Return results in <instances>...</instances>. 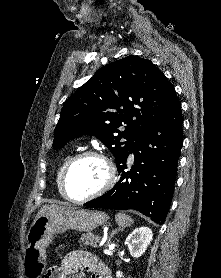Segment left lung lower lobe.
I'll return each instance as SVG.
<instances>
[{"instance_id": "left-lung-lower-lobe-1", "label": "left lung lower lobe", "mask_w": 221, "mask_h": 278, "mask_svg": "<svg viewBox=\"0 0 221 278\" xmlns=\"http://www.w3.org/2000/svg\"><path fill=\"white\" fill-rule=\"evenodd\" d=\"M183 143L179 100L143 132L118 162L120 179L106 194L85 203L93 208L134 209L156 223H164L173 196L177 164ZM134 154L128 169L127 158Z\"/></svg>"}]
</instances>
